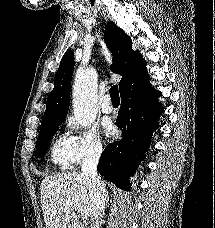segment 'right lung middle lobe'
I'll return each mask as SVG.
<instances>
[{"mask_svg":"<svg viewBox=\"0 0 215 228\" xmlns=\"http://www.w3.org/2000/svg\"><path fill=\"white\" fill-rule=\"evenodd\" d=\"M61 124L62 122H56V123H51V124H46L41 126L37 143H36V151H35L36 158H41L46 154L50 141Z\"/></svg>","mask_w":215,"mask_h":228,"instance_id":"1","label":"right lung middle lobe"}]
</instances>
